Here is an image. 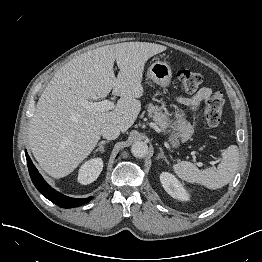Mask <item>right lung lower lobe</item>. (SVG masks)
Listing matches in <instances>:
<instances>
[{"label":"right lung lower lobe","instance_id":"98d812e1","mask_svg":"<svg viewBox=\"0 0 262 262\" xmlns=\"http://www.w3.org/2000/svg\"><path fill=\"white\" fill-rule=\"evenodd\" d=\"M25 155H26V159H27L29 174H30V177H31L33 184L38 189V191L40 193H42L51 202L55 203L59 207L72 208V207H77V206L83 205V204L89 202L93 198V197H88V198H84V199L70 198V197H67V196L57 192L52 187H50L46 183V181L43 179V177L39 174L38 170L33 165L29 155L27 154V152H25Z\"/></svg>","mask_w":262,"mask_h":262}]
</instances>
